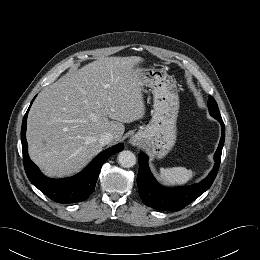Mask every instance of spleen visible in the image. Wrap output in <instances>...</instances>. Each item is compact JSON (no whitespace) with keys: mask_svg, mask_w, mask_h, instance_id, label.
I'll return each mask as SVG.
<instances>
[{"mask_svg":"<svg viewBox=\"0 0 260 260\" xmlns=\"http://www.w3.org/2000/svg\"><path fill=\"white\" fill-rule=\"evenodd\" d=\"M195 173L185 167L160 168V178L168 185H183L187 183Z\"/></svg>","mask_w":260,"mask_h":260,"instance_id":"spleen-1","label":"spleen"}]
</instances>
